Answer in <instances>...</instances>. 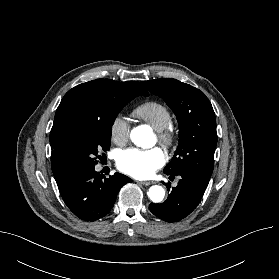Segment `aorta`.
<instances>
[{"mask_svg": "<svg viewBox=\"0 0 279 279\" xmlns=\"http://www.w3.org/2000/svg\"><path fill=\"white\" fill-rule=\"evenodd\" d=\"M130 137L134 144L146 148L148 146L150 134L145 128L139 126L131 131ZM148 196L154 203H159L164 199L165 190L159 185L151 186L148 191Z\"/></svg>", "mask_w": 279, "mask_h": 279, "instance_id": "762f6f07", "label": "aorta"}]
</instances>
